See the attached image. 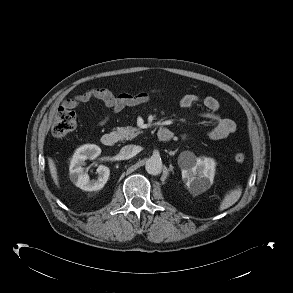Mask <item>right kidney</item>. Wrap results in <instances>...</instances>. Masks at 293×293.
<instances>
[{
    "mask_svg": "<svg viewBox=\"0 0 293 293\" xmlns=\"http://www.w3.org/2000/svg\"><path fill=\"white\" fill-rule=\"evenodd\" d=\"M101 154V149L97 145L87 144L78 148L70 163V180L84 191H97L107 183L110 169L104 165L97 168L98 178L90 180L87 173L84 172V165L87 159L93 160Z\"/></svg>",
    "mask_w": 293,
    "mask_h": 293,
    "instance_id": "1",
    "label": "right kidney"
}]
</instances>
